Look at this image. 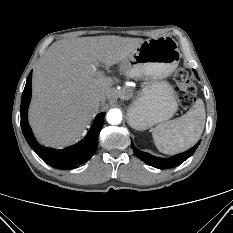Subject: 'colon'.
<instances>
[{"mask_svg":"<svg viewBox=\"0 0 233 233\" xmlns=\"http://www.w3.org/2000/svg\"><path fill=\"white\" fill-rule=\"evenodd\" d=\"M177 86L176 96L182 106H190L195 98V88L189 81V75L184 68H178L173 75Z\"/></svg>","mask_w":233,"mask_h":233,"instance_id":"obj_1","label":"colon"}]
</instances>
